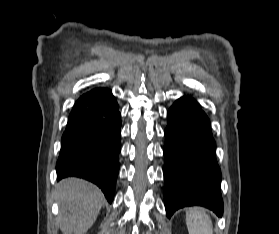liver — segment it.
Segmentation results:
<instances>
[{"instance_id":"6515ba94","label":"liver","mask_w":279,"mask_h":234,"mask_svg":"<svg viewBox=\"0 0 279 234\" xmlns=\"http://www.w3.org/2000/svg\"><path fill=\"white\" fill-rule=\"evenodd\" d=\"M59 226L63 234H85L105 204L95 185L78 178H67L58 185Z\"/></svg>"}]
</instances>
